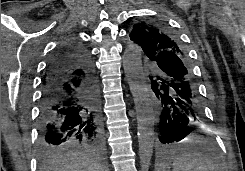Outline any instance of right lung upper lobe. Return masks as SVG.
Listing matches in <instances>:
<instances>
[{
	"label": "right lung upper lobe",
	"instance_id": "1",
	"mask_svg": "<svg viewBox=\"0 0 245 171\" xmlns=\"http://www.w3.org/2000/svg\"><path fill=\"white\" fill-rule=\"evenodd\" d=\"M71 44V42H68V43H66L65 44V46H69ZM69 70L70 71H73L74 69H72V68H69ZM77 72H79L78 70H75V72L74 73H77Z\"/></svg>",
	"mask_w": 245,
	"mask_h": 171
}]
</instances>
